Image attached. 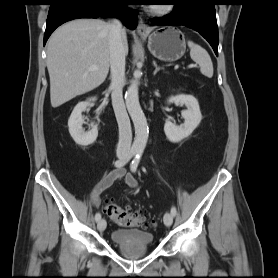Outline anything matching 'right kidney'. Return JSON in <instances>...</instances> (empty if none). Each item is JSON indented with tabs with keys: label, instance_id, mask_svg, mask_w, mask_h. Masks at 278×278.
Returning a JSON list of instances; mask_svg holds the SVG:
<instances>
[{
	"label": "right kidney",
	"instance_id": "obj_1",
	"mask_svg": "<svg viewBox=\"0 0 278 278\" xmlns=\"http://www.w3.org/2000/svg\"><path fill=\"white\" fill-rule=\"evenodd\" d=\"M96 98H91L90 101H95ZM89 105V101H84L78 103L74 110L71 113V116L68 120L69 133L73 140L81 146H88L96 140L98 136V126L94 123H91V130L85 132L82 128L84 123V118L82 112L86 110Z\"/></svg>",
	"mask_w": 278,
	"mask_h": 278
}]
</instances>
